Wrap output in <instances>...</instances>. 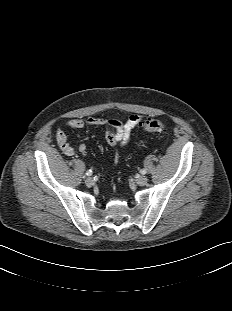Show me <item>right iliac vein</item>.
I'll return each instance as SVG.
<instances>
[{"mask_svg":"<svg viewBox=\"0 0 232 311\" xmlns=\"http://www.w3.org/2000/svg\"><path fill=\"white\" fill-rule=\"evenodd\" d=\"M85 184H86L87 186H92V185L94 184V179H93L92 177L86 178Z\"/></svg>","mask_w":232,"mask_h":311,"instance_id":"obj_1","label":"right iliac vein"}]
</instances>
